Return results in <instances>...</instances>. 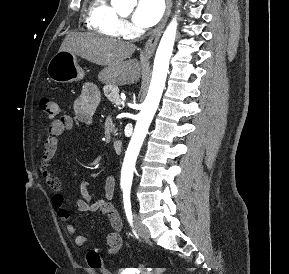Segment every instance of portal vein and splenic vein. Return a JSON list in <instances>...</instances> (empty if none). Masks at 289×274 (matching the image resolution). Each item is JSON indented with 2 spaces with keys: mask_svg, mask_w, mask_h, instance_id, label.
I'll list each match as a JSON object with an SVG mask.
<instances>
[{
  "mask_svg": "<svg viewBox=\"0 0 289 274\" xmlns=\"http://www.w3.org/2000/svg\"><path fill=\"white\" fill-rule=\"evenodd\" d=\"M121 103H122V101H121L120 98H118V99L115 101V104H116V105H120Z\"/></svg>",
  "mask_w": 289,
  "mask_h": 274,
  "instance_id": "obj_1",
  "label": "portal vein and splenic vein"
}]
</instances>
